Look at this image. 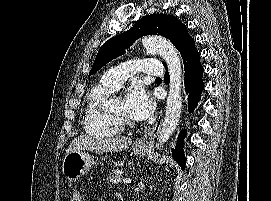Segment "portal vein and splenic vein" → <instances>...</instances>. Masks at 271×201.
<instances>
[{
    "mask_svg": "<svg viewBox=\"0 0 271 201\" xmlns=\"http://www.w3.org/2000/svg\"><path fill=\"white\" fill-rule=\"evenodd\" d=\"M123 183H125V184H128V183H131V179H123V181H122Z\"/></svg>",
    "mask_w": 271,
    "mask_h": 201,
    "instance_id": "portal-vein-and-splenic-vein-1",
    "label": "portal vein and splenic vein"
}]
</instances>
